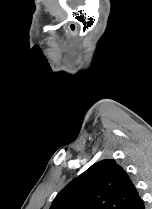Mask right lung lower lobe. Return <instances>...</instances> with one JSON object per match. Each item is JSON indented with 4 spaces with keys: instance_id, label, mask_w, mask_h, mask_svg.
<instances>
[{
    "instance_id": "98d812e1",
    "label": "right lung lower lobe",
    "mask_w": 152,
    "mask_h": 209,
    "mask_svg": "<svg viewBox=\"0 0 152 209\" xmlns=\"http://www.w3.org/2000/svg\"><path fill=\"white\" fill-rule=\"evenodd\" d=\"M125 209H145V205L138 192L132 202Z\"/></svg>"
}]
</instances>
